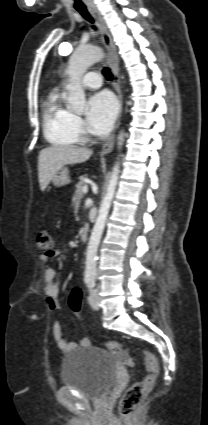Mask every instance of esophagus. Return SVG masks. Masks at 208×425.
Returning a JSON list of instances; mask_svg holds the SVG:
<instances>
[{
    "label": "esophagus",
    "instance_id": "obj_1",
    "mask_svg": "<svg viewBox=\"0 0 208 425\" xmlns=\"http://www.w3.org/2000/svg\"><path fill=\"white\" fill-rule=\"evenodd\" d=\"M89 12L94 16V18L97 20L98 22V26L100 29V33H101V38H102V42L104 44V47L107 51V55H108V63L111 67L112 73H113V77H114V88L116 90L118 99H119V103H120V116H121V112H122V104H123V98H122V92H121V85H120V78H119V63H118V56H117V51H116V47L114 45V42L112 40V37L108 31V28L104 22L103 17L101 16V14L98 12V10L96 9V7H89ZM120 116L119 119L117 121V124L115 126V131L114 133L111 135L110 138H108L105 143L102 146L101 149V154H108L113 150L114 147V143H115V133L119 127L120 124Z\"/></svg>",
    "mask_w": 208,
    "mask_h": 425
}]
</instances>
